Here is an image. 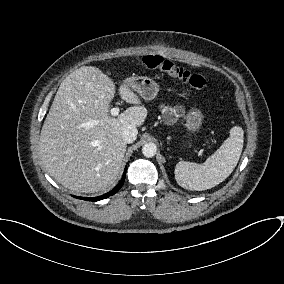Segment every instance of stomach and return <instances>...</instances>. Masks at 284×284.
I'll return each instance as SVG.
<instances>
[{
	"label": "stomach",
	"mask_w": 284,
	"mask_h": 284,
	"mask_svg": "<svg viewBox=\"0 0 284 284\" xmlns=\"http://www.w3.org/2000/svg\"><path fill=\"white\" fill-rule=\"evenodd\" d=\"M124 83L137 91L145 100L154 99L159 91V84L146 76L130 77ZM185 120L187 130L194 133L201 127L203 115L200 110L192 109L185 115Z\"/></svg>",
	"instance_id": "1"
}]
</instances>
